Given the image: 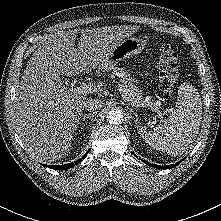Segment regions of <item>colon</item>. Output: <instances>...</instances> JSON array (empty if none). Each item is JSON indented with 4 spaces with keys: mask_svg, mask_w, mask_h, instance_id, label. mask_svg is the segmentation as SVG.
I'll list each match as a JSON object with an SVG mask.
<instances>
[{
    "mask_svg": "<svg viewBox=\"0 0 221 221\" xmlns=\"http://www.w3.org/2000/svg\"><path fill=\"white\" fill-rule=\"evenodd\" d=\"M159 87L163 91H169L174 86L178 76V57L170 46L160 49L159 60Z\"/></svg>",
    "mask_w": 221,
    "mask_h": 221,
    "instance_id": "5ec220e1",
    "label": "colon"
}]
</instances>
